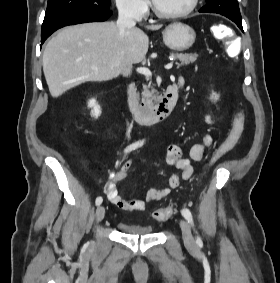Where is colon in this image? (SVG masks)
<instances>
[{"label": "colon", "mask_w": 280, "mask_h": 283, "mask_svg": "<svg viewBox=\"0 0 280 283\" xmlns=\"http://www.w3.org/2000/svg\"><path fill=\"white\" fill-rule=\"evenodd\" d=\"M211 31L213 35L216 38H218L219 42H226V47H228V55H240V51L242 47L241 37H231L233 36V31L229 26L213 25L211 27ZM243 121H244L243 112L239 111L234 119V122H236V127L232 138L226 143H223L219 147V149L214 154L211 160V164L221 159L228 152V150L230 149L232 144L236 141V139L240 136L243 128ZM173 213H174V207L169 206L155 210L152 213V217L156 221H166L172 216Z\"/></svg>", "instance_id": "obj_1"}]
</instances>
